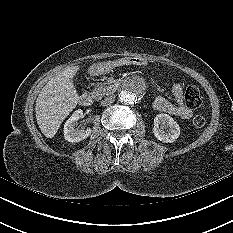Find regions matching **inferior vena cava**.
<instances>
[{
    "instance_id": "inferior-vena-cava-1",
    "label": "inferior vena cava",
    "mask_w": 233,
    "mask_h": 233,
    "mask_svg": "<svg viewBox=\"0 0 233 233\" xmlns=\"http://www.w3.org/2000/svg\"><path fill=\"white\" fill-rule=\"evenodd\" d=\"M115 101V95H110L101 101L102 106H108Z\"/></svg>"
}]
</instances>
